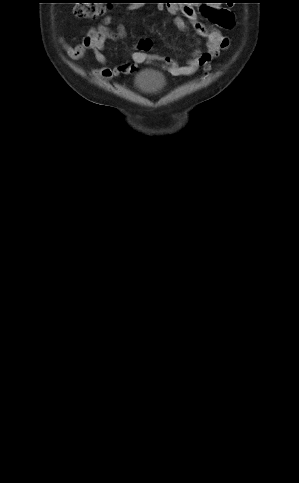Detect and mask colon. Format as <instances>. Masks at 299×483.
I'll list each match as a JSON object with an SVG mask.
<instances>
[{"mask_svg":"<svg viewBox=\"0 0 299 483\" xmlns=\"http://www.w3.org/2000/svg\"><path fill=\"white\" fill-rule=\"evenodd\" d=\"M74 15L83 19H95L102 16L108 9L110 0H80L76 2ZM208 4H204V7Z\"/></svg>","mask_w":299,"mask_h":483,"instance_id":"1","label":"colon"}]
</instances>
